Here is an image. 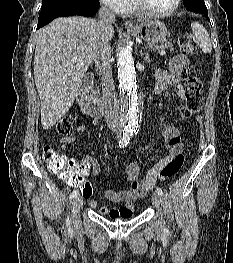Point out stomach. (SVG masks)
<instances>
[{
    "instance_id": "1",
    "label": "stomach",
    "mask_w": 233,
    "mask_h": 263,
    "mask_svg": "<svg viewBox=\"0 0 233 263\" xmlns=\"http://www.w3.org/2000/svg\"><path fill=\"white\" fill-rule=\"evenodd\" d=\"M128 32L150 43L164 42L168 34L164 23L156 20L137 24L134 29H130Z\"/></svg>"
}]
</instances>
